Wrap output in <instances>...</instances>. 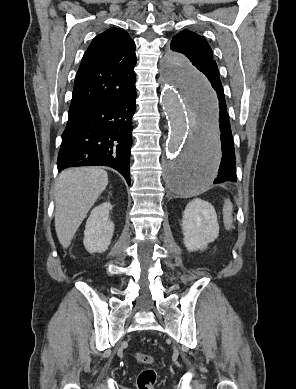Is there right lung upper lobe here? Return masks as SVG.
<instances>
[{"label":"right lung upper lobe","instance_id":"1","mask_svg":"<svg viewBox=\"0 0 296 389\" xmlns=\"http://www.w3.org/2000/svg\"><path fill=\"white\" fill-rule=\"evenodd\" d=\"M135 43L123 29L97 35L78 69L69 116L119 98L134 82Z\"/></svg>","mask_w":296,"mask_h":389}]
</instances>
